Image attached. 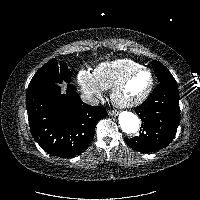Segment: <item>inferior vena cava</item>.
<instances>
[{
  "instance_id": "602c4592",
  "label": "inferior vena cava",
  "mask_w": 200,
  "mask_h": 200,
  "mask_svg": "<svg viewBox=\"0 0 200 200\" xmlns=\"http://www.w3.org/2000/svg\"><path fill=\"white\" fill-rule=\"evenodd\" d=\"M81 99L83 102H85L86 104L92 105V106H98L99 105V100L89 94H82L81 95Z\"/></svg>"
}]
</instances>
